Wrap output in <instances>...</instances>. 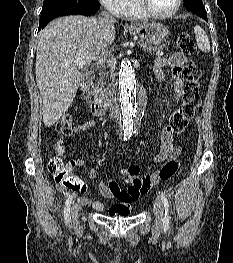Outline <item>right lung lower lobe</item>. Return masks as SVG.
Returning <instances> with one entry per match:
<instances>
[{
	"label": "right lung lower lobe",
	"mask_w": 233,
	"mask_h": 263,
	"mask_svg": "<svg viewBox=\"0 0 233 263\" xmlns=\"http://www.w3.org/2000/svg\"><path fill=\"white\" fill-rule=\"evenodd\" d=\"M98 9L99 8H92L88 5H82L80 8H78L76 10V12L74 14H81V15H85V16H90V15H93L94 13H96V11ZM48 22L39 23L38 31L43 29L48 24Z\"/></svg>",
	"instance_id": "obj_1"
}]
</instances>
